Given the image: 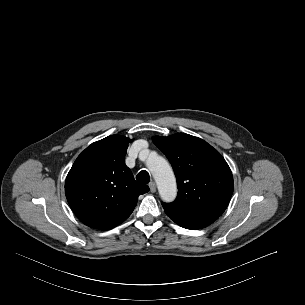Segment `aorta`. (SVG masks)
I'll return each instance as SVG.
<instances>
[{
  "label": "aorta",
  "mask_w": 305,
  "mask_h": 305,
  "mask_svg": "<svg viewBox=\"0 0 305 305\" xmlns=\"http://www.w3.org/2000/svg\"><path fill=\"white\" fill-rule=\"evenodd\" d=\"M147 166L157 183L161 199L165 202H172L177 195V185L169 163L161 156L150 155Z\"/></svg>",
  "instance_id": "aorta-1"
}]
</instances>
